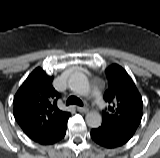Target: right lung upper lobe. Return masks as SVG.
I'll use <instances>...</instances> for the list:
<instances>
[{"instance_id": "obj_1", "label": "right lung upper lobe", "mask_w": 160, "mask_h": 158, "mask_svg": "<svg viewBox=\"0 0 160 158\" xmlns=\"http://www.w3.org/2000/svg\"><path fill=\"white\" fill-rule=\"evenodd\" d=\"M53 77L41 67L31 72L14 97V116L23 132L37 142L57 132L70 113L57 106L60 94L52 85Z\"/></svg>"}]
</instances>
